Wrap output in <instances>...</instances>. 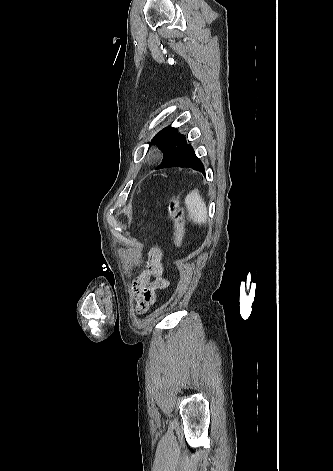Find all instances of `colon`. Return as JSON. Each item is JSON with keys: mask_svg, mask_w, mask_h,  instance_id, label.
Instances as JSON below:
<instances>
[{"mask_svg": "<svg viewBox=\"0 0 333 471\" xmlns=\"http://www.w3.org/2000/svg\"><path fill=\"white\" fill-rule=\"evenodd\" d=\"M168 215L174 226V245L176 249H180L185 233V219L179 201L174 196L168 202Z\"/></svg>", "mask_w": 333, "mask_h": 471, "instance_id": "1", "label": "colon"}]
</instances>
